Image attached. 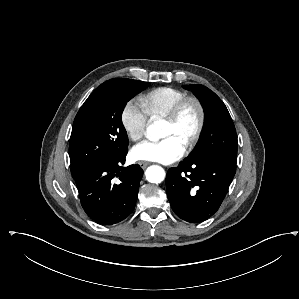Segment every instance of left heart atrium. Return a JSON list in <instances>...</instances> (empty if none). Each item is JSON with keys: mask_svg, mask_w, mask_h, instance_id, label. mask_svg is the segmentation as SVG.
Listing matches in <instances>:
<instances>
[{"mask_svg": "<svg viewBox=\"0 0 299 299\" xmlns=\"http://www.w3.org/2000/svg\"><path fill=\"white\" fill-rule=\"evenodd\" d=\"M185 152L176 139L163 138L159 141L144 140L136 144L130 151L133 160L158 161L169 164L179 160Z\"/></svg>", "mask_w": 299, "mask_h": 299, "instance_id": "1", "label": "left heart atrium"}]
</instances>
